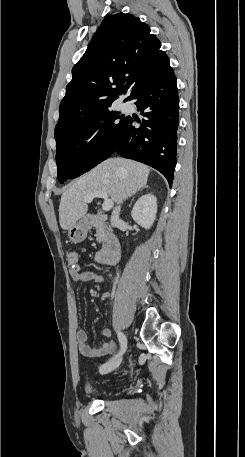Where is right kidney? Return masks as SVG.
I'll return each mask as SVG.
<instances>
[{
  "mask_svg": "<svg viewBox=\"0 0 245 457\" xmlns=\"http://www.w3.org/2000/svg\"><path fill=\"white\" fill-rule=\"evenodd\" d=\"M156 212L157 198L154 194L148 192V194H143L136 200L131 216L140 226H144V229H150L155 220Z\"/></svg>",
  "mask_w": 245,
  "mask_h": 457,
  "instance_id": "obj_1",
  "label": "right kidney"
}]
</instances>
